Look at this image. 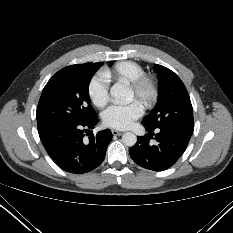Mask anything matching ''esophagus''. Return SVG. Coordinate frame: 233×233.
I'll use <instances>...</instances> for the list:
<instances>
[{
  "instance_id": "1",
  "label": "esophagus",
  "mask_w": 233,
  "mask_h": 233,
  "mask_svg": "<svg viewBox=\"0 0 233 233\" xmlns=\"http://www.w3.org/2000/svg\"><path fill=\"white\" fill-rule=\"evenodd\" d=\"M112 134H113L114 136H120V135L123 134V132H122V131H119V130L113 129V130H112Z\"/></svg>"
}]
</instances>
